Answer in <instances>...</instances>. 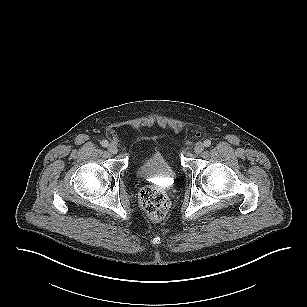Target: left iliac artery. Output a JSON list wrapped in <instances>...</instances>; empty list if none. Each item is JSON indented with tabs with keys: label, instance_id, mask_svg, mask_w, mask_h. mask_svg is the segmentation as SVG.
<instances>
[{
	"label": "left iliac artery",
	"instance_id": "44dca946",
	"mask_svg": "<svg viewBox=\"0 0 307 307\" xmlns=\"http://www.w3.org/2000/svg\"><path fill=\"white\" fill-rule=\"evenodd\" d=\"M210 145H211V141L208 140V139H206V140L204 141V146H205V147H209Z\"/></svg>",
	"mask_w": 307,
	"mask_h": 307
}]
</instances>
